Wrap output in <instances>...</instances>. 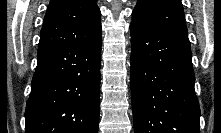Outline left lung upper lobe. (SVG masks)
<instances>
[{"mask_svg": "<svg viewBox=\"0 0 221 133\" xmlns=\"http://www.w3.org/2000/svg\"><path fill=\"white\" fill-rule=\"evenodd\" d=\"M131 23L147 28L188 33L180 0H138L132 12Z\"/></svg>", "mask_w": 221, "mask_h": 133, "instance_id": "left-lung-upper-lobe-1", "label": "left lung upper lobe"}]
</instances>
